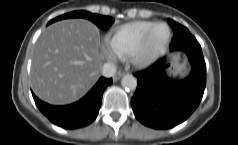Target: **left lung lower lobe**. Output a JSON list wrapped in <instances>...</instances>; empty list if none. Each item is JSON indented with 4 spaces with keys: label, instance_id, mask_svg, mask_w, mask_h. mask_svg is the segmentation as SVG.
<instances>
[{
    "label": "left lung lower lobe",
    "instance_id": "obj_1",
    "mask_svg": "<svg viewBox=\"0 0 238 145\" xmlns=\"http://www.w3.org/2000/svg\"><path fill=\"white\" fill-rule=\"evenodd\" d=\"M174 37L170 48L183 50L192 63V72L181 82L170 80L164 59L135 73L137 89L131 99L135 117L145 126L169 129L185 121L198 107L206 86V64L200 44L187 28L168 19Z\"/></svg>",
    "mask_w": 238,
    "mask_h": 145
}]
</instances>
